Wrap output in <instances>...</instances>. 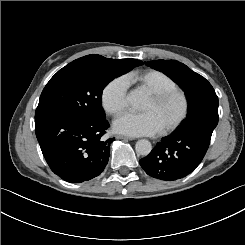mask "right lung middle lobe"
Masks as SVG:
<instances>
[{"label":"right lung middle lobe","mask_w":245,"mask_h":245,"mask_svg":"<svg viewBox=\"0 0 245 245\" xmlns=\"http://www.w3.org/2000/svg\"><path fill=\"white\" fill-rule=\"evenodd\" d=\"M142 64L135 59L114 60L96 54L72 61L43 89L35 119L49 115L77 116L90 121L105 119L101 107L104 87Z\"/></svg>","instance_id":"1"}]
</instances>
